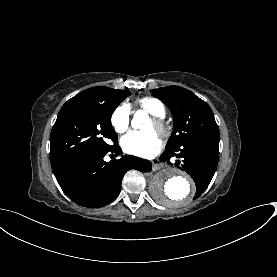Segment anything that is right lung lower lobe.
<instances>
[{"label":"right lung lower lobe","mask_w":277,"mask_h":277,"mask_svg":"<svg viewBox=\"0 0 277 277\" xmlns=\"http://www.w3.org/2000/svg\"><path fill=\"white\" fill-rule=\"evenodd\" d=\"M121 153L116 144L100 152H82L51 163L64 193L78 205L97 208L112 202L120 193L129 169L150 172L151 163L132 156L105 161V155Z\"/></svg>","instance_id":"obj_1"}]
</instances>
